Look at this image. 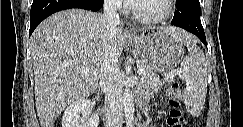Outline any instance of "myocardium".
I'll return each instance as SVG.
<instances>
[{"mask_svg": "<svg viewBox=\"0 0 243 127\" xmlns=\"http://www.w3.org/2000/svg\"><path fill=\"white\" fill-rule=\"evenodd\" d=\"M166 9L164 13L158 16H142L140 15L137 10H136V5L135 3L129 5V11L132 15V17L137 20L138 22L141 23H146V24H155V23H160L172 16L174 13V0H164Z\"/></svg>", "mask_w": 243, "mask_h": 127, "instance_id": "myocardium-1", "label": "myocardium"}]
</instances>
